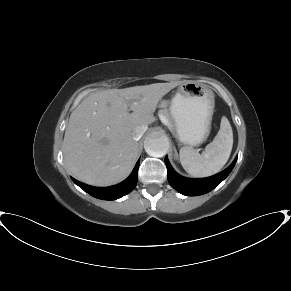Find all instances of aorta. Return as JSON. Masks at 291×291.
Returning a JSON list of instances; mask_svg holds the SVG:
<instances>
[{
  "label": "aorta",
  "instance_id": "1",
  "mask_svg": "<svg viewBox=\"0 0 291 291\" xmlns=\"http://www.w3.org/2000/svg\"><path fill=\"white\" fill-rule=\"evenodd\" d=\"M144 148L151 156H163L168 151L169 140L166 136L151 135L146 138Z\"/></svg>",
  "mask_w": 291,
  "mask_h": 291
}]
</instances>
